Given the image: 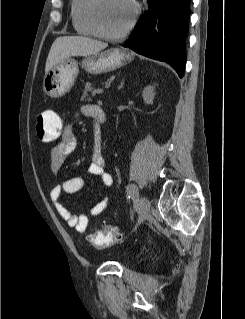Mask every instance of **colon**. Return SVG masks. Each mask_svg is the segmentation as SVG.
<instances>
[{
  "label": "colon",
  "instance_id": "5ec220e1",
  "mask_svg": "<svg viewBox=\"0 0 245 319\" xmlns=\"http://www.w3.org/2000/svg\"><path fill=\"white\" fill-rule=\"evenodd\" d=\"M62 130V120L55 112L45 111L37 117L36 133L39 141L43 143L55 142L60 138ZM87 239L91 245L103 249L118 242L121 235L116 227L104 226L101 229L92 230Z\"/></svg>",
  "mask_w": 245,
  "mask_h": 319
}]
</instances>
